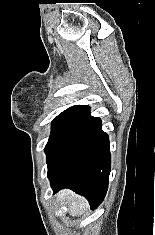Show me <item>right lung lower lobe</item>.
<instances>
[{
    "instance_id": "98d812e1",
    "label": "right lung lower lobe",
    "mask_w": 155,
    "mask_h": 235,
    "mask_svg": "<svg viewBox=\"0 0 155 235\" xmlns=\"http://www.w3.org/2000/svg\"><path fill=\"white\" fill-rule=\"evenodd\" d=\"M110 170L109 139L99 119L48 168V178L54 193L70 188L96 208L107 192Z\"/></svg>"
}]
</instances>
